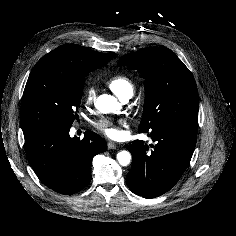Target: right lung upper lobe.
<instances>
[{
  "label": "right lung upper lobe",
  "mask_w": 236,
  "mask_h": 236,
  "mask_svg": "<svg viewBox=\"0 0 236 236\" xmlns=\"http://www.w3.org/2000/svg\"><path fill=\"white\" fill-rule=\"evenodd\" d=\"M115 53L103 54L83 46L67 44L57 47L42 57L34 68L53 70H82L100 68L107 64Z\"/></svg>",
  "instance_id": "right-lung-upper-lobe-1"
}]
</instances>
